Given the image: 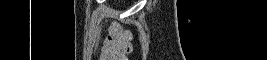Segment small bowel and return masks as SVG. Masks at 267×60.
<instances>
[{
	"instance_id": "1",
	"label": "small bowel",
	"mask_w": 267,
	"mask_h": 60,
	"mask_svg": "<svg viewBox=\"0 0 267 60\" xmlns=\"http://www.w3.org/2000/svg\"><path fill=\"white\" fill-rule=\"evenodd\" d=\"M117 27L114 25L111 29H110V31H113V30H115Z\"/></svg>"
}]
</instances>
